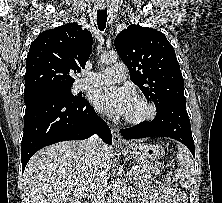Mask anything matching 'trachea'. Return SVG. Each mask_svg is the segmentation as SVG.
<instances>
[{"label":"trachea","mask_w":222,"mask_h":203,"mask_svg":"<svg viewBox=\"0 0 222 203\" xmlns=\"http://www.w3.org/2000/svg\"><path fill=\"white\" fill-rule=\"evenodd\" d=\"M107 22V9L97 11V25L100 31H104Z\"/></svg>","instance_id":"trachea-1"}]
</instances>
